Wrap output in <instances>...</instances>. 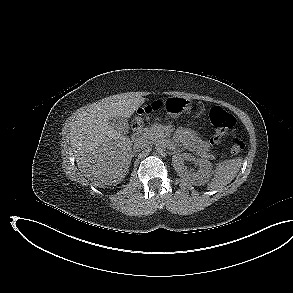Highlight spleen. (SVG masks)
Wrapping results in <instances>:
<instances>
[{
    "instance_id": "1",
    "label": "spleen",
    "mask_w": 293,
    "mask_h": 293,
    "mask_svg": "<svg viewBox=\"0 0 293 293\" xmlns=\"http://www.w3.org/2000/svg\"><path fill=\"white\" fill-rule=\"evenodd\" d=\"M242 165V158L229 159L216 164L213 179L208 184V189L219 190L236 177Z\"/></svg>"
}]
</instances>
